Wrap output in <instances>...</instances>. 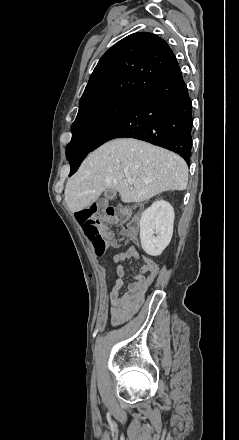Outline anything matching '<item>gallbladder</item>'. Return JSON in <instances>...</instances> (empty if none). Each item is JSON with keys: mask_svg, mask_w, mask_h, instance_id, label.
Wrapping results in <instances>:
<instances>
[{"mask_svg": "<svg viewBox=\"0 0 239 440\" xmlns=\"http://www.w3.org/2000/svg\"><path fill=\"white\" fill-rule=\"evenodd\" d=\"M104 196L106 200H112V198H115L116 192L115 190H106V192H104Z\"/></svg>", "mask_w": 239, "mask_h": 440, "instance_id": "1", "label": "gallbladder"}]
</instances>
